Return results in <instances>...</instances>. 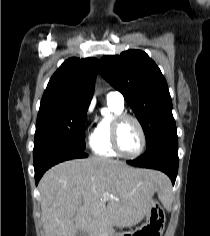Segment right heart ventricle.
<instances>
[{"mask_svg": "<svg viewBox=\"0 0 210 236\" xmlns=\"http://www.w3.org/2000/svg\"><path fill=\"white\" fill-rule=\"evenodd\" d=\"M110 112L100 116L90 137L89 147L92 152L101 157L113 158L117 154L111 143L112 122L116 115L123 112V107L107 101Z\"/></svg>", "mask_w": 210, "mask_h": 236, "instance_id": "e07e8e85", "label": "right heart ventricle"}]
</instances>
